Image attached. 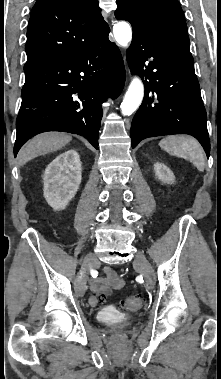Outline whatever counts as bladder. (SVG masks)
Instances as JSON below:
<instances>
[{
	"label": "bladder",
	"instance_id": "1",
	"mask_svg": "<svg viewBox=\"0 0 221 379\" xmlns=\"http://www.w3.org/2000/svg\"><path fill=\"white\" fill-rule=\"evenodd\" d=\"M97 319L102 322V323H106V324H109V323H112L114 322L115 320L112 318V316L106 312H99L97 314Z\"/></svg>",
	"mask_w": 221,
	"mask_h": 379
}]
</instances>
